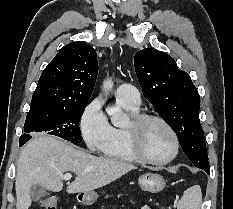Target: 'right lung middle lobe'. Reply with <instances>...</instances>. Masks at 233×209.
Masks as SVG:
<instances>
[{
	"label": "right lung middle lobe",
	"instance_id": "dd1d6c3e",
	"mask_svg": "<svg viewBox=\"0 0 233 209\" xmlns=\"http://www.w3.org/2000/svg\"><path fill=\"white\" fill-rule=\"evenodd\" d=\"M87 103L69 108L30 107L27 114L24 133L20 136L19 145L31 139V132L49 131L48 134L65 140L81 143L79 122Z\"/></svg>",
	"mask_w": 233,
	"mask_h": 209
}]
</instances>
